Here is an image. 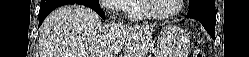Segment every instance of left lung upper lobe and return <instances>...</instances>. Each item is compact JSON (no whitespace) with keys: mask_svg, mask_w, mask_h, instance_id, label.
<instances>
[{"mask_svg":"<svg viewBox=\"0 0 249 57\" xmlns=\"http://www.w3.org/2000/svg\"><path fill=\"white\" fill-rule=\"evenodd\" d=\"M205 6H215V0H189V11L192 12Z\"/></svg>","mask_w":249,"mask_h":57,"instance_id":"5c2ea615","label":"left lung upper lobe"}]
</instances>
